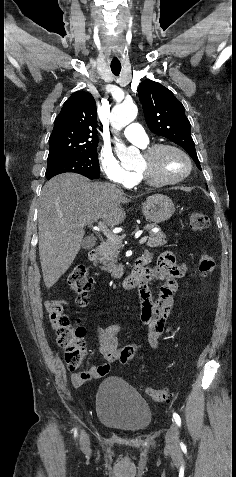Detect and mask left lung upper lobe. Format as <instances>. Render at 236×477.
Here are the masks:
<instances>
[{"label": "left lung upper lobe", "instance_id": "5c2ea615", "mask_svg": "<svg viewBox=\"0 0 236 477\" xmlns=\"http://www.w3.org/2000/svg\"><path fill=\"white\" fill-rule=\"evenodd\" d=\"M138 93L149 129L181 146L201 170L183 105L169 89L152 80L143 81Z\"/></svg>", "mask_w": 236, "mask_h": 477}]
</instances>
